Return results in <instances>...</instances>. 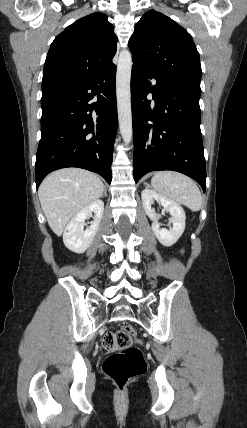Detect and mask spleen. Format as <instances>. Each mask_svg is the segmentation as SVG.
<instances>
[{
	"label": "spleen",
	"mask_w": 247,
	"mask_h": 428,
	"mask_svg": "<svg viewBox=\"0 0 247 428\" xmlns=\"http://www.w3.org/2000/svg\"><path fill=\"white\" fill-rule=\"evenodd\" d=\"M152 187L162 196L199 211L202 196L196 183L189 177L175 171L156 172L151 180Z\"/></svg>",
	"instance_id": "obj_1"
}]
</instances>
